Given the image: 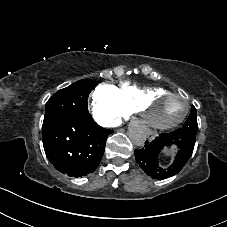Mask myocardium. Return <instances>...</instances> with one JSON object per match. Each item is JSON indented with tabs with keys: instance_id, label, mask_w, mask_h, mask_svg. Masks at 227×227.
I'll return each mask as SVG.
<instances>
[{
	"instance_id": "f54148a6",
	"label": "myocardium",
	"mask_w": 227,
	"mask_h": 227,
	"mask_svg": "<svg viewBox=\"0 0 227 227\" xmlns=\"http://www.w3.org/2000/svg\"><path fill=\"white\" fill-rule=\"evenodd\" d=\"M163 97H182L185 100V109L183 114L178 119L174 120L173 122L165 126L153 122L148 114V109L150 108V106ZM189 110H190V102L186 94L181 92L166 91L163 93H158L147 97L140 105L138 109V113H139L140 120L145 125V127L153 130H162V129H173L177 127L187 117Z\"/></svg>"
}]
</instances>
